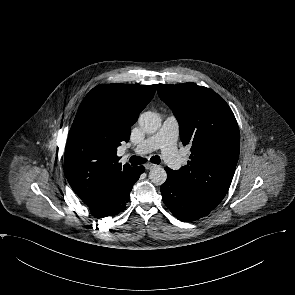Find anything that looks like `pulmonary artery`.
<instances>
[{
	"label": "pulmonary artery",
	"mask_w": 295,
	"mask_h": 295,
	"mask_svg": "<svg viewBox=\"0 0 295 295\" xmlns=\"http://www.w3.org/2000/svg\"><path fill=\"white\" fill-rule=\"evenodd\" d=\"M179 123L174 116L167 117L159 130L151 137L139 143L134 152L140 155L161 150L166 163L174 170L182 166V159L177 152Z\"/></svg>",
	"instance_id": "pulmonary-artery-1"
}]
</instances>
